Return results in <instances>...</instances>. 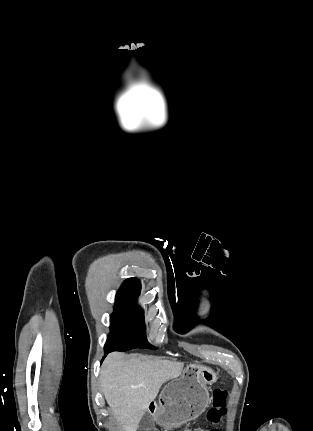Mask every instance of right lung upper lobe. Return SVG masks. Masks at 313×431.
Masks as SVG:
<instances>
[{"instance_id": "right-lung-upper-lobe-1", "label": "right lung upper lobe", "mask_w": 313, "mask_h": 431, "mask_svg": "<svg viewBox=\"0 0 313 431\" xmlns=\"http://www.w3.org/2000/svg\"><path fill=\"white\" fill-rule=\"evenodd\" d=\"M141 291V284L137 278H129L124 281L117 292L116 300L134 302Z\"/></svg>"}]
</instances>
